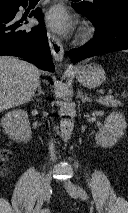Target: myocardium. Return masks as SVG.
Here are the masks:
<instances>
[{
	"label": "myocardium",
	"instance_id": "obj_1",
	"mask_svg": "<svg viewBox=\"0 0 128 213\" xmlns=\"http://www.w3.org/2000/svg\"><path fill=\"white\" fill-rule=\"evenodd\" d=\"M92 36V31L89 28H83L81 32V40L87 41Z\"/></svg>",
	"mask_w": 128,
	"mask_h": 213
}]
</instances>
